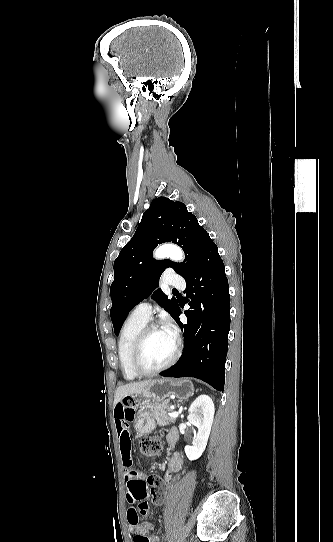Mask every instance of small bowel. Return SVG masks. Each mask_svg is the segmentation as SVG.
Segmentation results:
<instances>
[{
	"label": "small bowel",
	"mask_w": 333,
	"mask_h": 542,
	"mask_svg": "<svg viewBox=\"0 0 333 542\" xmlns=\"http://www.w3.org/2000/svg\"><path fill=\"white\" fill-rule=\"evenodd\" d=\"M134 404L132 400H119L118 404L115 406L114 409V417H115V429H116V438H117V444H118V450L121 456V459L125 465H130L131 463V438H130V432H129V426L134 418V410H133ZM177 433L175 429L171 430L167 436V439L169 440V437ZM182 470V458L178 453H175L167 468L166 477L169 478L171 473L181 472ZM132 471H128L126 473V480L130 484L131 480L133 479ZM130 491V487H129ZM131 495V491H130ZM156 502H159L156 500ZM137 516V511L134 508H131L128 512V522H129V529L131 532L135 534H147L149 531L153 529V524L150 522H146L143 524L136 523L135 518Z\"/></svg>",
	"instance_id": "c3829d8e"
}]
</instances>
